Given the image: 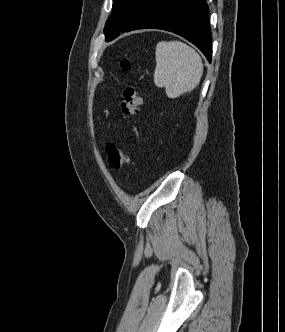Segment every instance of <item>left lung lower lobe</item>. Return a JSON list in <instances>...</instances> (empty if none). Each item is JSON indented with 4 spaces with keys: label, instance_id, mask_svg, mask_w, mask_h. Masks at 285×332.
<instances>
[{
    "label": "left lung lower lobe",
    "instance_id": "1",
    "mask_svg": "<svg viewBox=\"0 0 285 332\" xmlns=\"http://www.w3.org/2000/svg\"><path fill=\"white\" fill-rule=\"evenodd\" d=\"M144 28L171 31L184 37L211 62V29L205 0H152L123 31Z\"/></svg>",
    "mask_w": 285,
    "mask_h": 332
}]
</instances>
